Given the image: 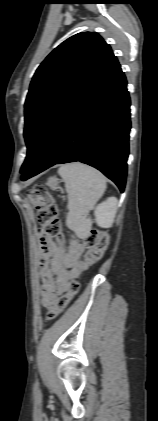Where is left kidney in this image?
Returning <instances> with one entry per match:
<instances>
[{
    "instance_id": "obj_1",
    "label": "left kidney",
    "mask_w": 158,
    "mask_h": 421,
    "mask_svg": "<svg viewBox=\"0 0 158 421\" xmlns=\"http://www.w3.org/2000/svg\"><path fill=\"white\" fill-rule=\"evenodd\" d=\"M118 200L115 197H109L106 201L99 204L94 212L95 221L99 227L109 228L114 222Z\"/></svg>"
}]
</instances>
